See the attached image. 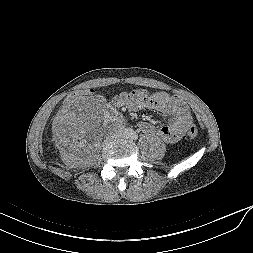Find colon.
<instances>
[{"instance_id": "colon-1", "label": "colon", "mask_w": 253, "mask_h": 253, "mask_svg": "<svg viewBox=\"0 0 253 253\" xmlns=\"http://www.w3.org/2000/svg\"><path fill=\"white\" fill-rule=\"evenodd\" d=\"M97 95H98V90L96 88H90L83 91L74 92L73 94L68 95L65 98V103L72 104L73 101H75L76 99H83L88 96H97ZM187 134L191 138L196 137L198 134L197 127L195 125H191L187 130Z\"/></svg>"}]
</instances>
